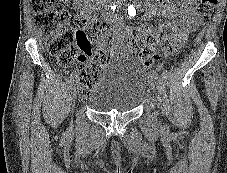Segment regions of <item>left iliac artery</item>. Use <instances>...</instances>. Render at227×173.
<instances>
[{"instance_id":"left-iliac-artery-1","label":"left iliac artery","mask_w":227,"mask_h":173,"mask_svg":"<svg viewBox=\"0 0 227 173\" xmlns=\"http://www.w3.org/2000/svg\"><path fill=\"white\" fill-rule=\"evenodd\" d=\"M149 74H150V77H152L153 79H157L158 78V74H157V72L154 69L150 70Z\"/></svg>"}]
</instances>
